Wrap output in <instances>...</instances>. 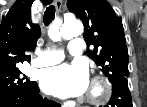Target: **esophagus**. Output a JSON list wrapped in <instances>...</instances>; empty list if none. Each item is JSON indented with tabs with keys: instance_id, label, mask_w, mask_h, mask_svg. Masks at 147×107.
<instances>
[{
	"instance_id": "1",
	"label": "esophagus",
	"mask_w": 147,
	"mask_h": 107,
	"mask_svg": "<svg viewBox=\"0 0 147 107\" xmlns=\"http://www.w3.org/2000/svg\"><path fill=\"white\" fill-rule=\"evenodd\" d=\"M54 4H55V7H56V11L59 13L61 11L62 1L61 0H55Z\"/></svg>"
}]
</instances>
